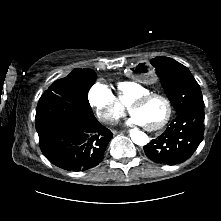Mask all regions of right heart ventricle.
<instances>
[{
	"instance_id": "obj_1",
	"label": "right heart ventricle",
	"mask_w": 221,
	"mask_h": 221,
	"mask_svg": "<svg viewBox=\"0 0 221 221\" xmlns=\"http://www.w3.org/2000/svg\"><path fill=\"white\" fill-rule=\"evenodd\" d=\"M150 92L147 87L134 80L117 83L118 99L124 106L129 105L135 98Z\"/></svg>"
}]
</instances>
